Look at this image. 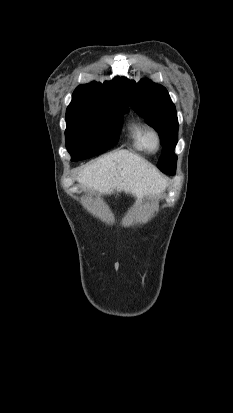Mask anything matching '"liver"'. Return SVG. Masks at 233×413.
<instances>
[{
  "label": "liver",
  "mask_w": 233,
  "mask_h": 413,
  "mask_svg": "<svg viewBox=\"0 0 233 413\" xmlns=\"http://www.w3.org/2000/svg\"><path fill=\"white\" fill-rule=\"evenodd\" d=\"M77 180L93 191L109 195L124 191L138 200L160 196L167 186V181L152 164L128 150L97 159L81 170Z\"/></svg>",
  "instance_id": "obj_1"
}]
</instances>
